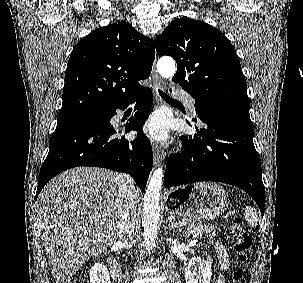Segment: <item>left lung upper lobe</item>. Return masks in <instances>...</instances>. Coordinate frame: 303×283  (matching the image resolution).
I'll return each instance as SVG.
<instances>
[{
  "label": "left lung upper lobe",
  "instance_id": "5c2ea615",
  "mask_svg": "<svg viewBox=\"0 0 303 283\" xmlns=\"http://www.w3.org/2000/svg\"><path fill=\"white\" fill-rule=\"evenodd\" d=\"M155 47L160 56L175 59L173 82L197 103L249 109L240 62L231 42L219 30L203 21L175 18L157 36Z\"/></svg>",
  "mask_w": 303,
  "mask_h": 283
}]
</instances>
